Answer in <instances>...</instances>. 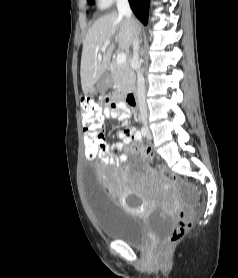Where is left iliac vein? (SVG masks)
Listing matches in <instances>:
<instances>
[{"label":"left iliac vein","instance_id":"obj_1","mask_svg":"<svg viewBox=\"0 0 238 278\" xmlns=\"http://www.w3.org/2000/svg\"><path fill=\"white\" fill-rule=\"evenodd\" d=\"M148 139H151V133L149 130H148Z\"/></svg>","mask_w":238,"mask_h":278}]
</instances>
